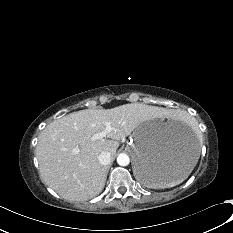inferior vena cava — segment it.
Listing matches in <instances>:
<instances>
[{"instance_id":"inferior-vena-cava-1","label":"inferior vena cava","mask_w":233,"mask_h":233,"mask_svg":"<svg viewBox=\"0 0 233 233\" xmlns=\"http://www.w3.org/2000/svg\"><path fill=\"white\" fill-rule=\"evenodd\" d=\"M98 161L101 165H109L111 163V154L109 152H102L98 155Z\"/></svg>"}]
</instances>
